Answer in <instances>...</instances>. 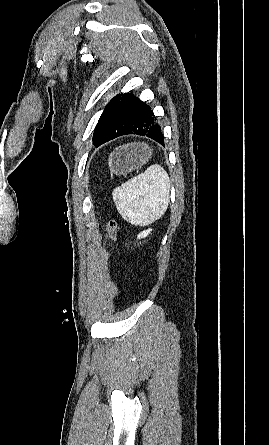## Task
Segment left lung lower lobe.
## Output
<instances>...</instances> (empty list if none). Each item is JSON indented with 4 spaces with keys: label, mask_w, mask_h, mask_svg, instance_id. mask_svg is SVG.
<instances>
[{
    "label": "left lung lower lobe",
    "mask_w": 269,
    "mask_h": 445,
    "mask_svg": "<svg viewBox=\"0 0 269 445\" xmlns=\"http://www.w3.org/2000/svg\"><path fill=\"white\" fill-rule=\"evenodd\" d=\"M147 136L164 146V136L150 106L133 94H123L106 125L94 140L96 147L118 136Z\"/></svg>",
    "instance_id": "left-lung-lower-lobe-1"
}]
</instances>
